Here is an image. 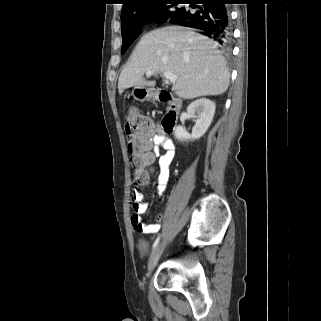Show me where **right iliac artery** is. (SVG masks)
<instances>
[{
	"mask_svg": "<svg viewBox=\"0 0 321 321\" xmlns=\"http://www.w3.org/2000/svg\"><path fill=\"white\" fill-rule=\"evenodd\" d=\"M159 241H160V236H158V237L156 238L155 242L153 243V246H152L153 249L156 248V246L158 245Z\"/></svg>",
	"mask_w": 321,
	"mask_h": 321,
	"instance_id": "1",
	"label": "right iliac artery"
}]
</instances>
